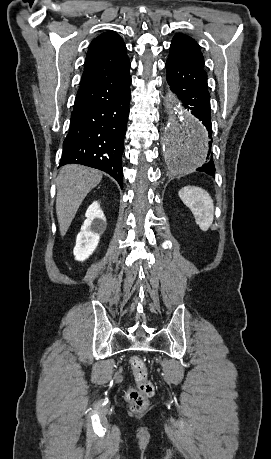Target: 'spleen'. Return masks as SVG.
<instances>
[{
  "label": "spleen",
  "instance_id": "spleen-1",
  "mask_svg": "<svg viewBox=\"0 0 271 459\" xmlns=\"http://www.w3.org/2000/svg\"><path fill=\"white\" fill-rule=\"evenodd\" d=\"M193 190L194 192L189 194L188 198H184L183 202L190 208L199 228L207 231L214 220L213 200L205 190L201 188H193Z\"/></svg>",
  "mask_w": 271,
  "mask_h": 459
}]
</instances>
